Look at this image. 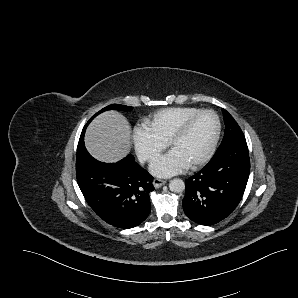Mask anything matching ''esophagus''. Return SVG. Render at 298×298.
Here are the masks:
<instances>
[{
	"mask_svg": "<svg viewBox=\"0 0 298 298\" xmlns=\"http://www.w3.org/2000/svg\"><path fill=\"white\" fill-rule=\"evenodd\" d=\"M165 184H166V180H162V179H159V178H155L154 181H153V186L155 188H160Z\"/></svg>",
	"mask_w": 298,
	"mask_h": 298,
	"instance_id": "34e87169",
	"label": "esophagus"
}]
</instances>
